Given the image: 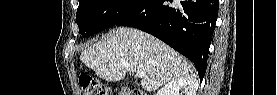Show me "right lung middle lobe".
<instances>
[{"instance_id":"1","label":"right lung middle lobe","mask_w":277,"mask_h":95,"mask_svg":"<svg viewBox=\"0 0 277 95\" xmlns=\"http://www.w3.org/2000/svg\"><path fill=\"white\" fill-rule=\"evenodd\" d=\"M143 0H81L76 14L79 33L85 37L100 32L127 16Z\"/></svg>"}]
</instances>
